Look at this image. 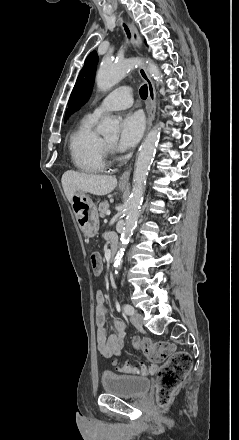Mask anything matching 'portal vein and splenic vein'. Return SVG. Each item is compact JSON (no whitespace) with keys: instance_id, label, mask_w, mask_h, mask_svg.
Masks as SVG:
<instances>
[{"instance_id":"18ae733b","label":"portal vein and splenic vein","mask_w":239,"mask_h":440,"mask_svg":"<svg viewBox=\"0 0 239 440\" xmlns=\"http://www.w3.org/2000/svg\"><path fill=\"white\" fill-rule=\"evenodd\" d=\"M110 209H107V212H106V214H107V216H110Z\"/></svg>"}]
</instances>
